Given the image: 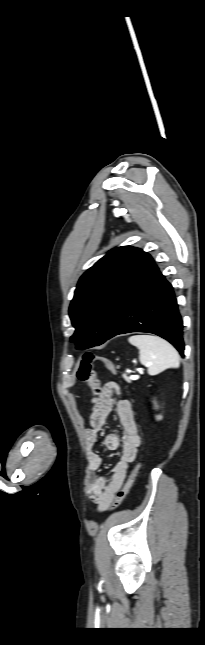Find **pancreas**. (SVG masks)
I'll list each match as a JSON object with an SVG mask.
<instances>
[{"label": "pancreas", "mask_w": 205, "mask_h": 645, "mask_svg": "<svg viewBox=\"0 0 205 645\" xmlns=\"http://www.w3.org/2000/svg\"><path fill=\"white\" fill-rule=\"evenodd\" d=\"M122 377L126 382H131V380H132V378L128 377L126 374H123Z\"/></svg>", "instance_id": "1"}]
</instances>
